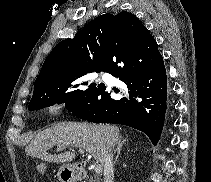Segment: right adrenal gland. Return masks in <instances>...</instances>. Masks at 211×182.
Instances as JSON below:
<instances>
[{"label": "right adrenal gland", "instance_id": "right-adrenal-gland-1", "mask_svg": "<svg viewBox=\"0 0 211 182\" xmlns=\"http://www.w3.org/2000/svg\"><path fill=\"white\" fill-rule=\"evenodd\" d=\"M126 142V139H124V140H119L118 141V143H117V149H116V151H117V156H116V158H115V161H114V163L116 164V162H117V160H118V157H119V155H120V152H121V149H122V147H123V144Z\"/></svg>", "mask_w": 211, "mask_h": 182}]
</instances>
